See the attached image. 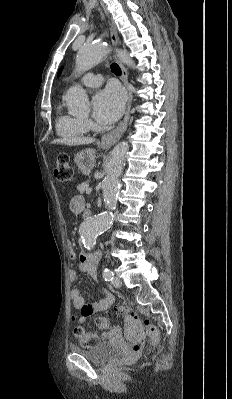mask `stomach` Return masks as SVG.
I'll return each mask as SVG.
<instances>
[{
    "label": "stomach",
    "mask_w": 232,
    "mask_h": 399,
    "mask_svg": "<svg viewBox=\"0 0 232 399\" xmlns=\"http://www.w3.org/2000/svg\"><path fill=\"white\" fill-rule=\"evenodd\" d=\"M74 162L76 166H78L79 170H81L82 174L89 176L96 162L95 150H92V148H87V150L78 152L74 158Z\"/></svg>",
    "instance_id": "1"
}]
</instances>
